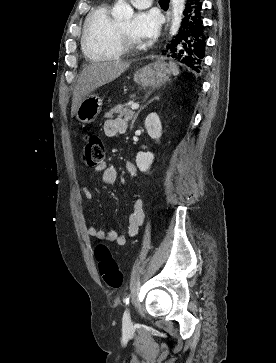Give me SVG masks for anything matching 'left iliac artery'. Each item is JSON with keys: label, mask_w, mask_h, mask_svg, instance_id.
I'll return each instance as SVG.
<instances>
[{"label": "left iliac artery", "mask_w": 276, "mask_h": 363, "mask_svg": "<svg viewBox=\"0 0 276 363\" xmlns=\"http://www.w3.org/2000/svg\"><path fill=\"white\" fill-rule=\"evenodd\" d=\"M129 299H130V295L128 294L125 298H124V303L128 304L129 303Z\"/></svg>", "instance_id": "left-iliac-artery-1"}]
</instances>
